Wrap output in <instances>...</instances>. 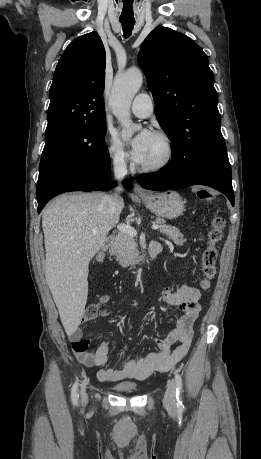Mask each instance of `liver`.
Instances as JSON below:
<instances>
[{
    "label": "liver",
    "mask_w": 261,
    "mask_h": 459,
    "mask_svg": "<svg viewBox=\"0 0 261 459\" xmlns=\"http://www.w3.org/2000/svg\"><path fill=\"white\" fill-rule=\"evenodd\" d=\"M117 222L101 192L65 194L43 211L45 277L68 336L84 315L89 263Z\"/></svg>",
    "instance_id": "6515ba94"
}]
</instances>
